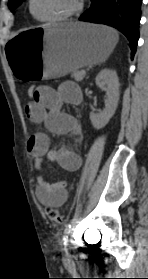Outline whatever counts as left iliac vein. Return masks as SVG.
<instances>
[{
	"mask_svg": "<svg viewBox=\"0 0 148 279\" xmlns=\"http://www.w3.org/2000/svg\"><path fill=\"white\" fill-rule=\"evenodd\" d=\"M64 250H65V252L67 253V249L65 248Z\"/></svg>",
	"mask_w": 148,
	"mask_h": 279,
	"instance_id": "obj_1",
	"label": "left iliac vein"
}]
</instances>
